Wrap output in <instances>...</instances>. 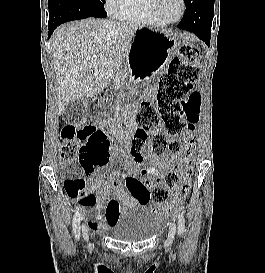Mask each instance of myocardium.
I'll use <instances>...</instances> for the list:
<instances>
[{"instance_id":"1","label":"myocardium","mask_w":265,"mask_h":273,"mask_svg":"<svg viewBox=\"0 0 265 273\" xmlns=\"http://www.w3.org/2000/svg\"><path fill=\"white\" fill-rule=\"evenodd\" d=\"M180 2H181V5H182V11H181V15L177 19L171 20V19H168L164 15V13L162 11L163 0H154V10H155V13L158 16V18L160 20H162L163 22H165L166 24L178 23V22H180L184 18L185 14H186V11H187L186 1L185 0H180Z\"/></svg>"}]
</instances>
